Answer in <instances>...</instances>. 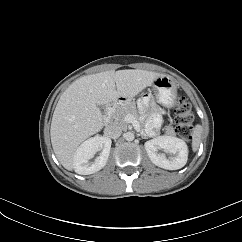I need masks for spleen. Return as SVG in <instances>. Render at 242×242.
Returning a JSON list of instances; mask_svg holds the SVG:
<instances>
[{
    "instance_id": "obj_1",
    "label": "spleen",
    "mask_w": 242,
    "mask_h": 242,
    "mask_svg": "<svg viewBox=\"0 0 242 242\" xmlns=\"http://www.w3.org/2000/svg\"><path fill=\"white\" fill-rule=\"evenodd\" d=\"M201 134H202L201 125H196V127L194 128L193 133H192V148L194 151H196L199 147L200 140H201Z\"/></svg>"
}]
</instances>
